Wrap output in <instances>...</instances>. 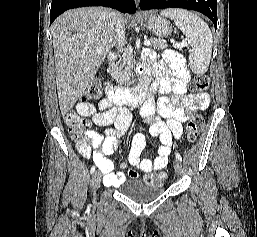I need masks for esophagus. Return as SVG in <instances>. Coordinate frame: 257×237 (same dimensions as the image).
<instances>
[{
	"label": "esophagus",
	"instance_id": "34e87169",
	"mask_svg": "<svg viewBox=\"0 0 257 237\" xmlns=\"http://www.w3.org/2000/svg\"><path fill=\"white\" fill-rule=\"evenodd\" d=\"M135 1H136V4L138 5V3H139L140 0H135Z\"/></svg>",
	"mask_w": 257,
	"mask_h": 237
}]
</instances>
